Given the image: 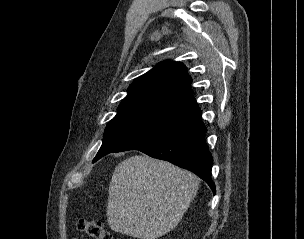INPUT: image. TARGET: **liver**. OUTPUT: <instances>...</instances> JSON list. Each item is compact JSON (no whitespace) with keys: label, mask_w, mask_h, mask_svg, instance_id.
<instances>
[{"label":"liver","mask_w":304,"mask_h":239,"mask_svg":"<svg viewBox=\"0 0 304 239\" xmlns=\"http://www.w3.org/2000/svg\"><path fill=\"white\" fill-rule=\"evenodd\" d=\"M198 186L199 178L187 170L148 156H132L113 172L108 224L135 238H159L178 225Z\"/></svg>","instance_id":"6515ba94"}]
</instances>
